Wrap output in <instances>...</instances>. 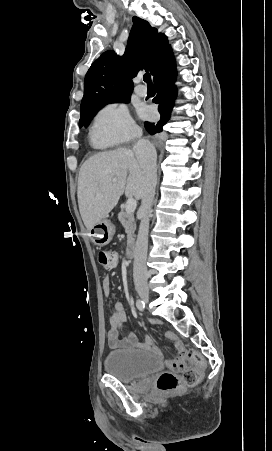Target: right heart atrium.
<instances>
[{"instance_id": "d8ad5b80", "label": "right heart atrium", "mask_w": 272, "mask_h": 451, "mask_svg": "<svg viewBox=\"0 0 272 451\" xmlns=\"http://www.w3.org/2000/svg\"><path fill=\"white\" fill-rule=\"evenodd\" d=\"M135 132V123L124 106L109 105L98 112L91 127L94 143L128 141Z\"/></svg>"}]
</instances>
